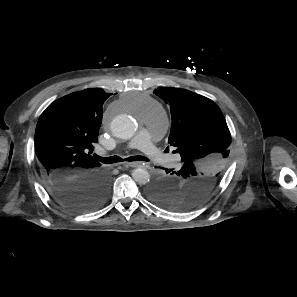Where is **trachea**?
Wrapping results in <instances>:
<instances>
[{"instance_id": "trachea-1", "label": "trachea", "mask_w": 297, "mask_h": 297, "mask_svg": "<svg viewBox=\"0 0 297 297\" xmlns=\"http://www.w3.org/2000/svg\"><path fill=\"white\" fill-rule=\"evenodd\" d=\"M94 157L102 162V163H105V164H113V163H117V162H122V161H129V162H132V161H149L148 158L144 157V156H131V157H128L126 159H122L120 158L119 156H111V157H101V156H98V155H94Z\"/></svg>"}]
</instances>
